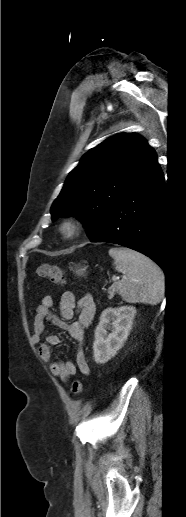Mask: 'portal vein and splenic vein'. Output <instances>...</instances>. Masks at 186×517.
Listing matches in <instances>:
<instances>
[{
	"mask_svg": "<svg viewBox=\"0 0 186 517\" xmlns=\"http://www.w3.org/2000/svg\"><path fill=\"white\" fill-rule=\"evenodd\" d=\"M112 280H113L114 282H116L117 280H119V277L114 276V277L112 278Z\"/></svg>",
	"mask_w": 186,
	"mask_h": 517,
	"instance_id": "18ae733b",
	"label": "portal vein and splenic vein"
}]
</instances>
